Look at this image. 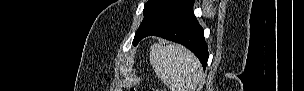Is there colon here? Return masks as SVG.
<instances>
[{"mask_svg": "<svg viewBox=\"0 0 304 91\" xmlns=\"http://www.w3.org/2000/svg\"><path fill=\"white\" fill-rule=\"evenodd\" d=\"M149 90L150 91H158V89H156V88H150Z\"/></svg>", "mask_w": 304, "mask_h": 91, "instance_id": "colon-1", "label": "colon"}]
</instances>
